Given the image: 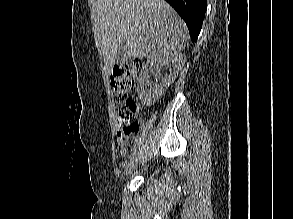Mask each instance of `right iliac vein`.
<instances>
[{"instance_id": "right-iliac-vein-1", "label": "right iliac vein", "mask_w": 293, "mask_h": 219, "mask_svg": "<svg viewBox=\"0 0 293 219\" xmlns=\"http://www.w3.org/2000/svg\"><path fill=\"white\" fill-rule=\"evenodd\" d=\"M137 164H138V159L134 157L130 161V163L126 166L125 171H124V175L125 176L130 175L133 172V170L136 168Z\"/></svg>"}]
</instances>
